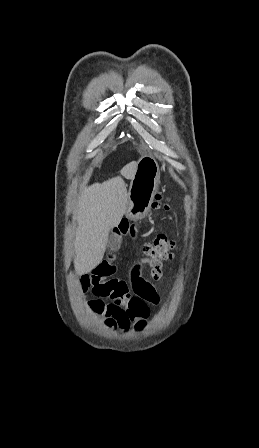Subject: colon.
I'll use <instances>...</instances> for the list:
<instances>
[{"mask_svg":"<svg viewBox=\"0 0 259 448\" xmlns=\"http://www.w3.org/2000/svg\"><path fill=\"white\" fill-rule=\"evenodd\" d=\"M153 207L156 210H168L169 202L164 196L156 195ZM175 242L164 235H158L154 240L145 244L144 261L149 269L150 275L154 280H158L162 275L163 262L171 260L174 257Z\"/></svg>","mask_w":259,"mask_h":448,"instance_id":"5ec220e1","label":"colon"}]
</instances>
